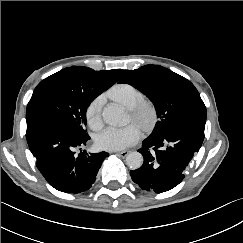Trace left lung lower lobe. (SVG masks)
<instances>
[{"mask_svg":"<svg viewBox=\"0 0 243 243\" xmlns=\"http://www.w3.org/2000/svg\"><path fill=\"white\" fill-rule=\"evenodd\" d=\"M206 115V109L189 112L176 119L160 138L145 139L138 150L144 162L130 171L132 180L143 190L156 193L177 186L202 145Z\"/></svg>","mask_w":243,"mask_h":243,"instance_id":"left-lung-lower-lobe-1","label":"left lung lower lobe"}]
</instances>
